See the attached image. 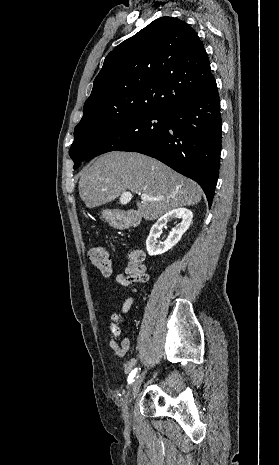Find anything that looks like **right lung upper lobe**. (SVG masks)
<instances>
[{
  "label": "right lung upper lobe",
  "mask_w": 279,
  "mask_h": 465,
  "mask_svg": "<svg viewBox=\"0 0 279 465\" xmlns=\"http://www.w3.org/2000/svg\"><path fill=\"white\" fill-rule=\"evenodd\" d=\"M214 80L196 32L179 19L158 18L107 55L75 128L167 111L203 94Z\"/></svg>",
  "instance_id": "cb5924a9"
}]
</instances>
